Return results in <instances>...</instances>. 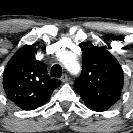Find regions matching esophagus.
Listing matches in <instances>:
<instances>
[{
  "instance_id": "34e87169",
  "label": "esophagus",
  "mask_w": 133,
  "mask_h": 133,
  "mask_svg": "<svg viewBox=\"0 0 133 133\" xmlns=\"http://www.w3.org/2000/svg\"><path fill=\"white\" fill-rule=\"evenodd\" d=\"M69 80V77L67 74H63L62 77H61V81L62 82H67Z\"/></svg>"
}]
</instances>
